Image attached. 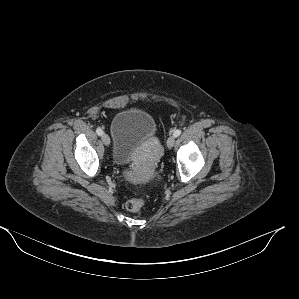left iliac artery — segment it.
<instances>
[{"label":"left iliac artery","mask_w":299,"mask_h":299,"mask_svg":"<svg viewBox=\"0 0 299 299\" xmlns=\"http://www.w3.org/2000/svg\"><path fill=\"white\" fill-rule=\"evenodd\" d=\"M180 134H181V130H179V129L175 130L174 133H173V135L175 137H178Z\"/></svg>","instance_id":"left-iliac-artery-1"}]
</instances>
